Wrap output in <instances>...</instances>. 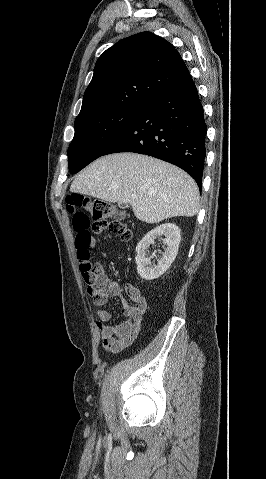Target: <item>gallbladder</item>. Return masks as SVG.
<instances>
[{"label":"gallbladder","instance_id":"1","mask_svg":"<svg viewBox=\"0 0 266 479\" xmlns=\"http://www.w3.org/2000/svg\"><path fill=\"white\" fill-rule=\"evenodd\" d=\"M119 206H120L121 208H127V207H128V204H122V203H120Z\"/></svg>","mask_w":266,"mask_h":479}]
</instances>
